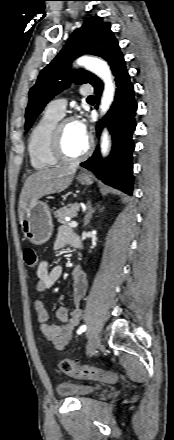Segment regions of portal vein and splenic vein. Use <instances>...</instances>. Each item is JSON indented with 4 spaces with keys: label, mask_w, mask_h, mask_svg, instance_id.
Listing matches in <instances>:
<instances>
[{
    "label": "portal vein and splenic vein",
    "mask_w": 174,
    "mask_h": 440,
    "mask_svg": "<svg viewBox=\"0 0 174 440\" xmlns=\"http://www.w3.org/2000/svg\"><path fill=\"white\" fill-rule=\"evenodd\" d=\"M68 225H69L70 227H77V226H78V223H77L76 221H71V222L68 223Z\"/></svg>",
    "instance_id": "obj_1"
}]
</instances>
